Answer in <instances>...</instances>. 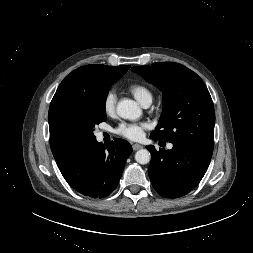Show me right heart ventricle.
Segmentation results:
<instances>
[{
    "label": "right heart ventricle",
    "mask_w": 253,
    "mask_h": 253,
    "mask_svg": "<svg viewBox=\"0 0 253 253\" xmlns=\"http://www.w3.org/2000/svg\"><path fill=\"white\" fill-rule=\"evenodd\" d=\"M127 91L141 104L151 103L153 99L152 91L142 83H132L127 87Z\"/></svg>",
    "instance_id": "obj_1"
}]
</instances>
